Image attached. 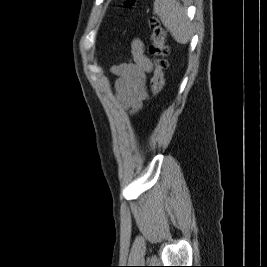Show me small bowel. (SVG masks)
<instances>
[{
  "label": "small bowel",
  "mask_w": 267,
  "mask_h": 267,
  "mask_svg": "<svg viewBox=\"0 0 267 267\" xmlns=\"http://www.w3.org/2000/svg\"><path fill=\"white\" fill-rule=\"evenodd\" d=\"M132 60L111 67L117 77L115 88L118 102L131 114H135L147 99L144 82L152 70L150 59L145 55L144 44L140 39L131 43Z\"/></svg>",
  "instance_id": "c3829d8e"
}]
</instances>
